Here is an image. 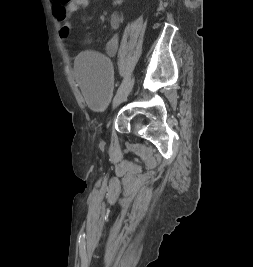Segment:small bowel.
<instances>
[{
  "label": "small bowel",
  "mask_w": 253,
  "mask_h": 267,
  "mask_svg": "<svg viewBox=\"0 0 253 267\" xmlns=\"http://www.w3.org/2000/svg\"><path fill=\"white\" fill-rule=\"evenodd\" d=\"M115 5L121 3L122 0H106ZM51 8L54 16L58 21L62 23L63 26H67L71 30V19L75 12L79 9L86 8L90 4V0H50ZM109 24L113 33L107 40L105 44V52L109 56H114L117 54L119 49V33L118 30L121 24V15L118 12L111 14L109 19Z\"/></svg>",
  "instance_id": "small-bowel-1"
}]
</instances>
